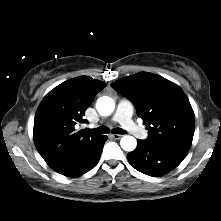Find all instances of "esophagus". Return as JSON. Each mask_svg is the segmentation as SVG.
<instances>
[{"mask_svg":"<svg viewBox=\"0 0 221 221\" xmlns=\"http://www.w3.org/2000/svg\"><path fill=\"white\" fill-rule=\"evenodd\" d=\"M123 135L120 134H111V137L114 139H120Z\"/></svg>","mask_w":221,"mask_h":221,"instance_id":"esophagus-1","label":"esophagus"}]
</instances>
